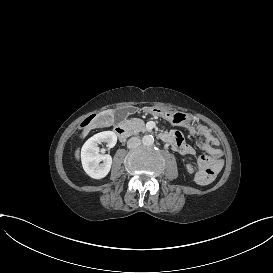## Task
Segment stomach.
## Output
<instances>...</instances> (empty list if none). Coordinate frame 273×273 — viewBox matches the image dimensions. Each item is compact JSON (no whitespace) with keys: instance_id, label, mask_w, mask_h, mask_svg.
Listing matches in <instances>:
<instances>
[{"instance_id":"stomach-1","label":"stomach","mask_w":273,"mask_h":273,"mask_svg":"<svg viewBox=\"0 0 273 273\" xmlns=\"http://www.w3.org/2000/svg\"><path fill=\"white\" fill-rule=\"evenodd\" d=\"M143 111L153 116L163 118L171 126H178L186 129H190L193 126V116L186 112L168 110L159 106L144 107Z\"/></svg>"}]
</instances>
